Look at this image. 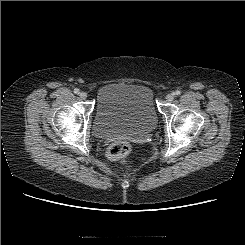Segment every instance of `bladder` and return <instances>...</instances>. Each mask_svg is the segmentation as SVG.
Masks as SVG:
<instances>
[{
    "label": "bladder",
    "instance_id": "obj_1",
    "mask_svg": "<svg viewBox=\"0 0 245 245\" xmlns=\"http://www.w3.org/2000/svg\"><path fill=\"white\" fill-rule=\"evenodd\" d=\"M158 123L152 89L141 84L108 83L96 96L94 133L111 136L143 137Z\"/></svg>",
    "mask_w": 245,
    "mask_h": 245
}]
</instances>
